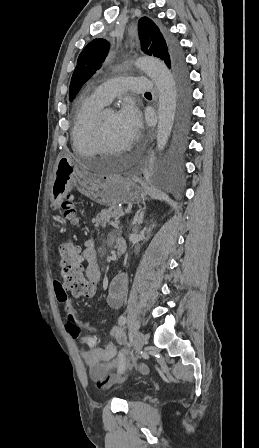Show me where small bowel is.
I'll list each match as a JSON object with an SVG mask.
<instances>
[{"label":"small bowel","instance_id":"c3829d8e","mask_svg":"<svg viewBox=\"0 0 259 448\" xmlns=\"http://www.w3.org/2000/svg\"><path fill=\"white\" fill-rule=\"evenodd\" d=\"M83 257L88 262L86 276L90 284L94 287L100 279V270L96 263V250L93 241H88L86 243ZM127 286L128 278L126 274L121 273L113 278L106 296V303L109 307L117 309L121 306L127 291ZM54 291L57 301L63 307L65 327L67 331L72 337L80 338V341L82 342L83 336H80V330L83 328L90 330L95 329L91 325L78 319L66 290L60 282H54ZM109 335L117 343H122L124 341V335L118 327L111 328ZM80 355L89 369L90 376L98 382L99 388L109 387L121 374L128 370V360L124 355L120 356L118 347L113 341H109L104 348H83ZM139 369L142 372L147 370L146 366L143 364L140 365Z\"/></svg>","mask_w":259,"mask_h":448}]
</instances>
